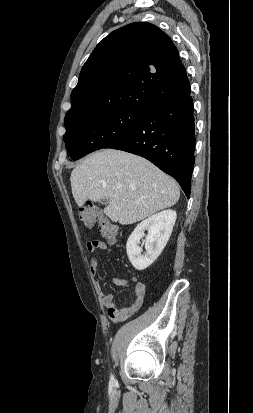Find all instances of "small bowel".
<instances>
[{"label": "small bowel", "mask_w": 253, "mask_h": 413, "mask_svg": "<svg viewBox=\"0 0 253 413\" xmlns=\"http://www.w3.org/2000/svg\"><path fill=\"white\" fill-rule=\"evenodd\" d=\"M89 253H94L97 250L110 252L108 245L103 241H91L87 245ZM90 271L93 275L98 272V260L91 257L89 260ZM113 283L120 287H129L130 283L127 279L113 278ZM146 294V285L143 282H136L133 289V297L125 306H119L114 301V296L111 293L101 291L100 301L107 308L108 317L115 322L123 321L136 313L143 304Z\"/></svg>", "instance_id": "obj_1"}]
</instances>
